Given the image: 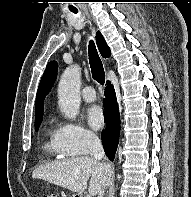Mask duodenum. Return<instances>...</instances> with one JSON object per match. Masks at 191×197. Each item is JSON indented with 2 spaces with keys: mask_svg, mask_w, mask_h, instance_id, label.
Listing matches in <instances>:
<instances>
[{
  "mask_svg": "<svg viewBox=\"0 0 191 197\" xmlns=\"http://www.w3.org/2000/svg\"><path fill=\"white\" fill-rule=\"evenodd\" d=\"M75 197H82L81 195H76Z\"/></svg>",
  "mask_w": 191,
  "mask_h": 197,
  "instance_id": "duodenum-1",
  "label": "duodenum"
}]
</instances>
